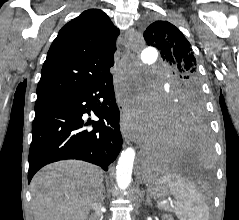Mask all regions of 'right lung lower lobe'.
I'll use <instances>...</instances> for the list:
<instances>
[{
    "mask_svg": "<svg viewBox=\"0 0 239 220\" xmlns=\"http://www.w3.org/2000/svg\"><path fill=\"white\" fill-rule=\"evenodd\" d=\"M90 112L99 121L82 119ZM89 125L92 130L87 129ZM32 136L29 183L40 168L64 159L84 160L107 171L122 147L111 73L83 91L35 103Z\"/></svg>",
    "mask_w": 239,
    "mask_h": 220,
    "instance_id": "1",
    "label": "right lung lower lobe"
}]
</instances>
